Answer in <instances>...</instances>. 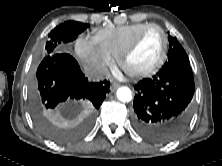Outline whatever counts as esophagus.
I'll list each match as a JSON object with an SVG mask.
<instances>
[{
    "label": "esophagus",
    "instance_id": "esophagus-1",
    "mask_svg": "<svg viewBox=\"0 0 222 166\" xmlns=\"http://www.w3.org/2000/svg\"><path fill=\"white\" fill-rule=\"evenodd\" d=\"M120 86H121L120 83H118V82H112V88H113V89H117V88L120 87Z\"/></svg>",
    "mask_w": 222,
    "mask_h": 166
}]
</instances>
